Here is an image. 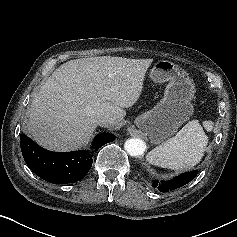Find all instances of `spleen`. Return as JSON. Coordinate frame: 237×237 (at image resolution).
<instances>
[{
    "mask_svg": "<svg viewBox=\"0 0 237 237\" xmlns=\"http://www.w3.org/2000/svg\"><path fill=\"white\" fill-rule=\"evenodd\" d=\"M203 126L211 131L212 121H204ZM208 144V137L198 120L188 122L173 138L149 152L148 162L155 166L172 170L189 169L198 164Z\"/></svg>",
    "mask_w": 237,
    "mask_h": 237,
    "instance_id": "spleen-1",
    "label": "spleen"
}]
</instances>
